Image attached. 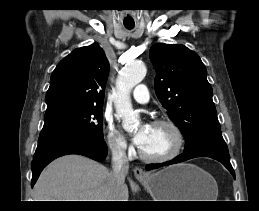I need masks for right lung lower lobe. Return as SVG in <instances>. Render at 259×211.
I'll return each mask as SVG.
<instances>
[{
    "label": "right lung lower lobe",
    "mask_w": 259,
    "mask_h": 211,
    "mask_svg": "<svg viewBox=\"0 0 259 211\" xmlns=\"http://www.w3.org/2000/svg\"><path fill=\"white\" fill-rule=\"evenodd\" d=\"M67 154H80L96 161H102L107 156V146L103 138L79 134L39 137L38 146L31 163V186H34L45 166L54 159Z\"/></svg>",
    "instance_id": "right-lung-lower-lobe-1"
}]
</instances>
